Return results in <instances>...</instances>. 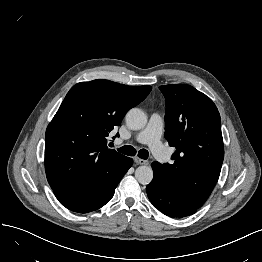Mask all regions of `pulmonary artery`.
<instances>
[{
  "label": "pulmonary artery",
  "instance_id": "pulmonary-artery-1",
  "mask_svg": "<svg viewBox=\"0 0 262 262\" xmlns=\"http://www.w3.org/2000/svg\"><path fill=\"white\" fill-rule=\"evenodd\" d=\"M163 119L158 113L151 114L147 126L140 131L135 141L147 144L152 153L163 162L169 161L170 157L162 143Z\"/></svg>",
  "mask_w": 262,
  "mask_h": 262
}]
</instances>
